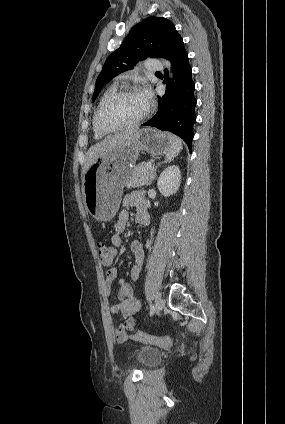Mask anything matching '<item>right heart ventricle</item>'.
Masks as SVG:
<instances>
[{
    "instance_id": "right-heart-ventricle-1",
    "label": "right heart ventricle",
    "mask_w": 285,
    "mask_h": 424,
    "mask_svg": "<svg viewBox=\"0 0 285 424\" xmlns=\"http://www.w3.org/2000/svg\"><path fill=\"white\" fill-rule=\"evenodd\" d=\"M117 90H118V85L117 84H113V85L109 86L106 89V91L103 93V95L101 96V98H100V100H99V102H98V104L96 106V109H95L94 114H93V121H92L93 132H94V135H95V138L96 139H101V138L105 137L108 134V133H104V132L99 131L98 128L96 127V125H95V115H96V112H97L98 108L100 107V105L104 102V100L107 97H109L111 94H113L114 92H116Z\"/></svg>"
}]
</instances>
